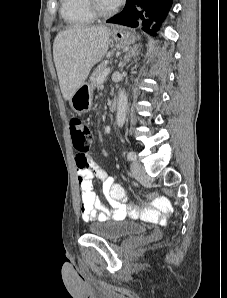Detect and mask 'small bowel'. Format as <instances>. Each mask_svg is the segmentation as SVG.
Wrapping results in <instances>:
<instances>
[{
    "label": "small bowel",
    "mask_w": 227,
    "mask_h": 298,
    "mask_svg": "<svg viewBox=\"0 0 227 298\" xmlns=\"http://www.w3.org/2000/svg\"><path fill=\"white\" fill-rule=\"evenodd\" d=\"M75 163L81 190L80 212L84 221L110 218L122 220L127 215H141L150 221L164 222L161 218V211L155 207L149 206L144 210H139L133 204L127 205L125 189L87 155V150H76ZM95 178L102 182L103 193L107 197L111 209L105 208L97 197L93 189V179Z\"/></svg>",
    "instance_id": "1"
}]
</instances>
